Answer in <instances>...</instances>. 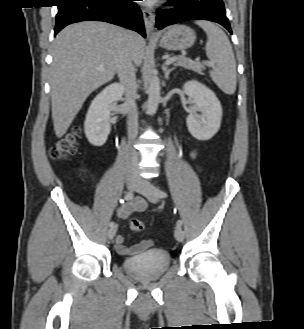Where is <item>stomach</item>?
<instances>
[{
	"mask_svg": "<svg viewBox=\"0 0 304 329\" xmlns=\"http://www.w3.org/2000/svg\"><path fill=\"white\" fill-rule=\"evenodd\" d=\"M196 40L195 32L185 25L171 26L161 37L159 45L167 50H184Z\"/></svg>",
	"mask_w": 304,
	"mask_h": 329,
	"instance_id": "stomach-1",
	"label": "stomach"
}]
</instances>
